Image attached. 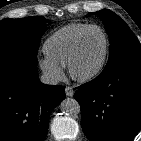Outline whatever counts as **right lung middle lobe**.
Segmentation results:
<instances>
[{
	"label": "right lung middle lobe",
	"mask_w": 141,
	"mask_h": 141,
	"mask_svg": "<svg viewBox=\"0 0 141 141\" xmlns=\"http://www.w3.org/2000/svg\"><path fill=\"white\" fill-rule=\"evenodd\" d=\"M47 23L41 16L0 21V57L18 52L36 56Z\"/></svg>",
	"instance_id": "1"
}]
</instances>
